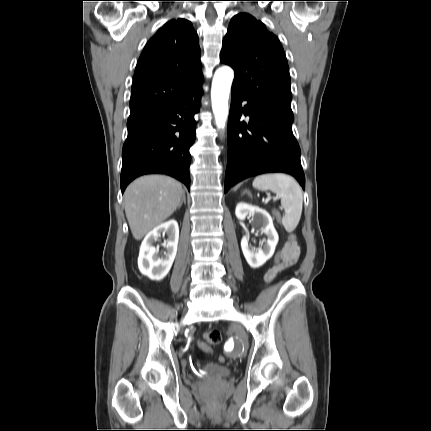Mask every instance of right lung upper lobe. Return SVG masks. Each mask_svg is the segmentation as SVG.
Instances as JSON below:
<instances>
[{
	"instance_id": "cb5924a9",
	"label": "right lung upper lobe",
	"mask_w": 431,
	"mask_h": 431,
	"mask_svg": "<svg viewBox=\"0 0 431 431\" xmlns=\"http://www.w3.org/2000/svg\"><path fill=\"white\" fill-rule=\"evenodd\" d=\"M203 81L198 36L185 19L171 20L148 41L132 84L130 115L165 105Z\"/></svg>"
}]
</instances>
